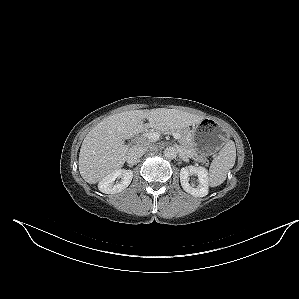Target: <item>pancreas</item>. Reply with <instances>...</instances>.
Instances as JSON below:
<instances>
[{
	"mask_svg": "<svg viewBox=\"0 0 299 299\" xmlns=\"http://www.w3.org/2000/svg\"><path fill=\"white\" fill-rule=\"evenodd\" d=\"M165 132L172 134V133H178L179 136V141L180 144L187 150L189 151L190 155L197 161L203 163V164H208V160L205 156L199 155L195 149L194 146L191 142V133L188 129H182V130H172V129H167L164 130Z\"/></svg>",
	"mask_w": 299,
	"mask_h": 299,
	"instance_id": "cf45deb5",
	"label": "pancreas"
}]
</instances>
